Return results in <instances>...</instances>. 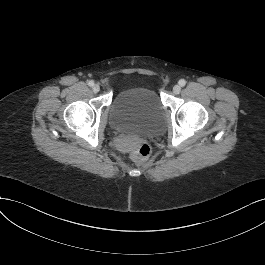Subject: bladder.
I'll list each match as a JSON object with an SVG mask.
<instances>
[{
  "label": "bladder",
  "mask_w": 265,
  "mask_h": 265,
  "mask_svg": "<svg viewBox=\"0 0 265 265\" xmlns=\"http://www.w3.org/2000/svg\"><path fill=\"white\" fill-rule=\"evenodd\" d=\"M108 109L111 126L141 134L160 129L164 121L162 103L158 95L149 88L122 90Z\"/></svg>",
  "instance_id": "1"
}]
</instances>
